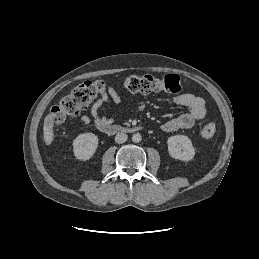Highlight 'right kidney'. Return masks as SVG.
<instances>
[{
	"label": "right kidney",
	"instance_id": "obj_1",
	"mask_svg": "<svg viewBox=\"0 0 259 259\" xmlns=\"http://www.w3.org/2000/svg\"><path fill=\"white\" fill-rule=\"evenodd\" d=\"M98 147V137L93 133L78 135L73 141V153L76 159L86 161L93 157Z\"/></svg>",
	"mask_w": 259,
	"mask_h": 259
}]
</instances>
